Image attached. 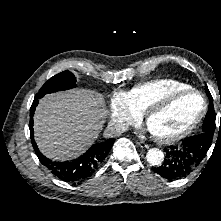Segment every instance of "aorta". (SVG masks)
I'll use <instances>...</instances> for the list:
<instances>
[{"label": "aorta", "mask_w": 221, "mask_h": 221, "mask_svg": "<svg viewBox=\"0 0 221 221\" xmlns=\"http://www.w3.org/2000/svg\"><path fill=\"white\" fill-rule=\"evenodd\" d=\"M146 159L153 166L160 165L164 160V154L160 149L152 148L147 152Z\"/></svg>", "instance_id": "obj_1"}]
</instances>
